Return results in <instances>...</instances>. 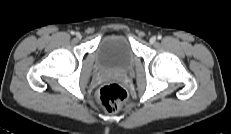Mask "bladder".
Wrapping results in <instances>:
<instances>
[{"instance_id":"bladder-1","label":"bladder","mask_w":231,"mask_h":134,"mask_svg":"<svg viewBox=\"0 0 231 134\" xmlns=\"http://www.w3.org/2000/svg\"><path fill=\"white\" fill-rule=\"evenodd\" d=\"M98 66L103 70L126 72L134 64L135 53L130 39L121 33L104 36L96 50Z\"/></svg>"}]
</instances>
